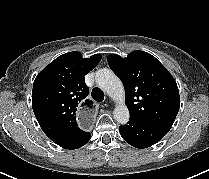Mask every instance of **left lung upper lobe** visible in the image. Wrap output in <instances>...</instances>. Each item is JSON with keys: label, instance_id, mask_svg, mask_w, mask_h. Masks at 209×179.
<instances>
[{"label": "left lung upper lobe", "instance_id": "obj_1", "mask_svg": "<svg viewBox=\"0 0 209 179\" xmlns=\"http://www.w3.org/2000/svg\"><path fill=\"white\" fill-rule=\"evenodd\" d=\"M107 61L124 84L130 117L170 129L180 97L169 71L154 56L140 50L126 58L111 54Z\"/></svg>", "mask_w": 209, "mask_h": 179}]
</instances>
